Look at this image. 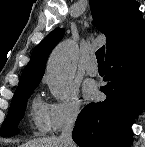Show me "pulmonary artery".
I'll use <instances>...</instances> for the list:
<instances>
[{
    "label": "pulmonary artery",
    "instance_id": "obj_1",
    "mask_svg": "<svg viewBox=\"0 0 145 147\" xmlns=\"http://www.w3.org/2000/svg\"><path fill=\"white\" fill-rule=\"evenodd\" d=\"M86 72L90 76H96L98 74V67L96 65V60L94 57H91L86 64Z\"/></svg>",
    "mask_w": 145,
    "mask_h": 147
}]
</instances>
